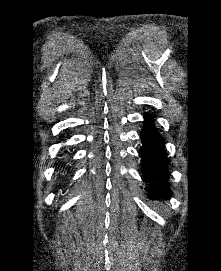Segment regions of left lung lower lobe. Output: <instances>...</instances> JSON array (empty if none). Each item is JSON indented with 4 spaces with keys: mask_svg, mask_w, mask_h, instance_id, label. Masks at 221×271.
<instances>
[{
    "mask_svg": "<svg viewBox=\"0 0 221 271\" xmlns=\"http://www.w3.org/2000/svg\"><path fill=\"white\" fill-rule=\"evenodd\" d=\"M144 117V127L140 133L143 145L139 151L142 159V173L146 181H159L152 188L150 199H167L170 193L167 183L169 160L166 156L164 140L154 125L152 115L146 114Z\"/></svg>",
    "mask_w": 221,
    "mask_h": 271,
    "instance_id": "left-lung-lower-lobe-1",
    "label": "left lung lower lobe"
}]
</instances>
